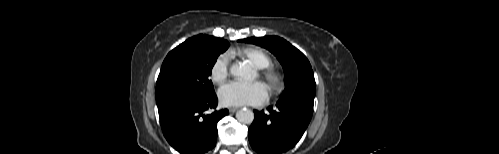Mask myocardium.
<instances>
[{"label":"myocardium","mask_w":499,"mask_h":154,"mask_svg":"<svg viewBox=\"0 0 499 154\" xmlns=\"http://www.w3.org/2000/svg\"><path fill=\"white\" fill-rule=\"evenodd\" d=\"M259 76L266 83L271 92L278 91L282 87V73L273 66H268L262 69Z\"/></svg>","instance_id":"obj_1"}]
</instances>
